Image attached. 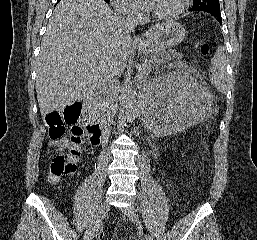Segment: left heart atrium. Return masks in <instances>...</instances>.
<instances>
[{"label":"left heart atrium","mask_w":257,"mask_h":240,"mask_svg":"<svg viewBox=\"0 0 257 240\" xmlns=\"http://www.w3.org/2000/svg\"><path fill=\"white\" fill-rule=\"evenodd\" d=\"M151 2H152V0H146V3H147L148 6L151 5Z\"/></svg>","instance_id":"1"}]
</instances>
